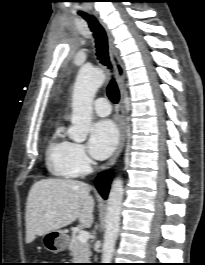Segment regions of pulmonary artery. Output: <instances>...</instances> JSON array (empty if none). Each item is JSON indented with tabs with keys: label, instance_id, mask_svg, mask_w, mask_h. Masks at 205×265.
<instances>
[{
	"label": "pulmonary artery",
	"instance_id": "obj_1",
	"mask_svg": "<svg viewBox=\"0 0 205 265\" xmlns=\"http://www.w3.org/2000/svg\"><path fill=\"white\" fill-rule=\"evenodd\" d=\"M94 111L99 115V116H108L111 112V107L107 99L105 98H98L94 102Z\"/></svg>",
	"mask_w": 205,
	"mask_h": 265
}]
</instances>
